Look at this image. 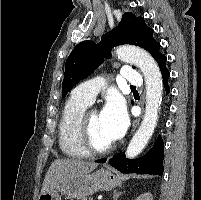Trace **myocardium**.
<instances>
[{"label":"myocardium","instance_id":"f54148a6","mask_svg":"<svg viewBox=\"0 0 201 200\" xmlns=\"http://www.w3.org/2000/svg\"><path fill=\"white\" fill-rule=\"evenodd\" d=\"M95 113L93 110L85 111L79 119L78 123V142L82 149L88 154H105L110 152L114 144L111 143L104 147H96L92 144L89 137V117Z\"/></svg>","mask_w":201,"mask_h":200}]
</instances>
